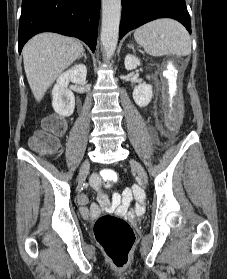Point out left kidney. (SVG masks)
<instances>
[{
  "instance_id": "obj_1",
  "label": "left kidney",
  "mask_w": 227,
  "mask_h": 279,
  "mask_svg": "<svg viewBox=\"0 0 227 279\" xmlns=\"http://www.w3.org/2000/svg\"><path fill=\"white\" fill-rule=\"evenodd\" d=\"M124 63L127 70H133L137 68V66H140V60L136 56L131 54L126 55ZM147 78L150 79L149 76H147ZM152 97L153 89L150 84H139L133 90V99L139 107L147 106L150 103Z\"/></svg>"
}]
</instances>
